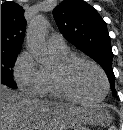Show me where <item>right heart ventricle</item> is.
Segmentation results:
<instances>
[{
    "label": "right heart ventricle",
    "instance_id": "e07e8e85",
    "mask_svg": "<svg viewBox=\"0 0 123 130\" xmlns=\"http://www.w3.org/2000/svg\"><path fill=\"white\" fill-rule=\"evenodd\" d=\"M52 49V48H51ZM56 56L61 60L69 57L71 54L68 49L56 50L52 49ZM44 86L41 96H48L56 100H67V98L59 91L53 76V70L44 69Z\"/></svg>",
    "mask_w": 123,
    "mask_h": 130
}]
</instances>
